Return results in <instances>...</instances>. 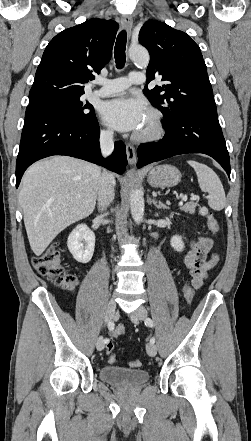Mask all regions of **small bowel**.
Wrapping results in <instances>:
<instances>
[{"label": "small bowel", "instance_id": "1", "mask_svg": "<svg viewBox=\"0 0 251 441\" xmlns=\"http://www.w3.org/2000/svg\"><path fill=\"white\" fill-rule=\"evenodd\" d=\"M213 241L209 237H199L192 239L189 243V250L185 254L184 264L190 270L192 283L195 288L200 287L217 261L216 254H210ZM124 333V327L115 328L113 335L119 336Z\"/></svg>", "mask_w": 251, "mask_h": 441}]
</instances>
